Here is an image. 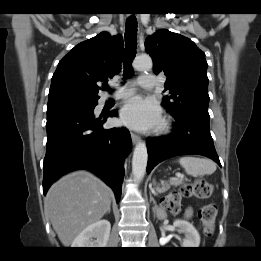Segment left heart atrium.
I'll list each match as a JSON object with an SVG mask.
<instances>
[{
	"instance_id": "1",
	"label": "left heart atrium",
	"mask_w": 261,
	"mask_h": 261,
	"mask_svg": "<svg viewBox=\"0 0 261 261\" xmlns=\"http://www.w3.org/2000/svg\"><path fill=\"white\" fill-rule=\"evenodd\" d=\"M120 119L132 128L148 130L160 124L161 115L158 106L152 100L134 96L124 103Z\"/></svg>"
}]
</instances>
